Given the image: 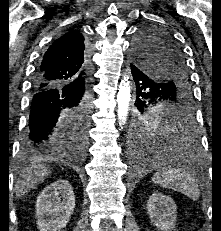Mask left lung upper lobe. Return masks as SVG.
<instances>
[{
	"label": "left lung upper lobe",
	"mask_w": 221,
	"mask_h": 231,
	"mask_svg": "<svg viewBox=\"0 0 221 231\" xmlns=\"http://www.w3.org/2000/svg\"><path fill=\"white\" fill-rule=\"evenodd\" d=\"M132 54L136 65L149 68V74L167 86L138 107L133 132L141 136L154 134L145 128L157 115L177 122L191 116L193 94L183 52L174 38L163 29L143 27L136 36Z\"/></svg>",
	"instance_id": "1"
}]
</instances>
